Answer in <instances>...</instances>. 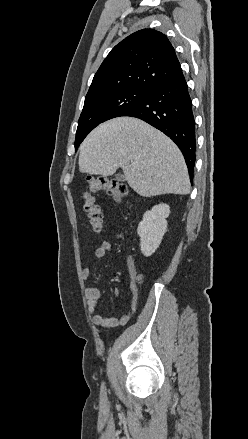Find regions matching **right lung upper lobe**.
<instances>
[{"label": "right lung upper lobe", "mask_w": 248, "mask_h": 439, "mask_svg": "<svg viewBox=\"0 0 248 439\" xmlns=\"http://www.w3.org/2000/svg\"><path fill=\"white\" fill-rule=\"evenodd\" d=\"M181 72L167 36L153 29L139 30L116 45L105 58L85 102L122 89L149 92Z\"/></svg>", "instance_id": "cb5924a9"}]
</instances>
